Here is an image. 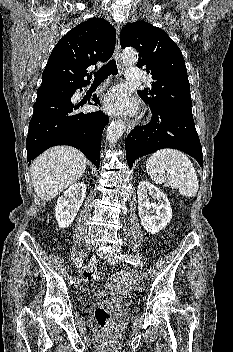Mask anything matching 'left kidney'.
<instances>
[{
	"mask_svg": "<svg viewBox=\"0 0 233 352\" xmlns=\"http://www.w3.org/2000/svg\"><path fill=\"white\" fill-rule=\"evenodd\" d=\"M138 212L144 229L158 233L164 229L172 218V209L167 196L148 181H141L137 190ZM149 196L155 199L150 203Z\"/></svg>",
	"mask_w": 233,
	"mask_h": 352,
	"instance_id": "obj_1",
	"label": "left kidney"
}]
</instances>
